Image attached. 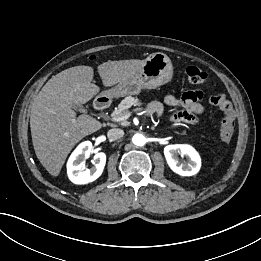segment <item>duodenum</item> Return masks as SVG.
Instances as JSON below:
<instances>
[{
    "instance_id": "obj_1",
    "label": "duodenum",
    "mask_w": 261,
    "mask_h": 261,
    "mask_svg": "<svg viewBox=\"0 0 261 261\" xmlns=\"http://www.w3.org/2000/svg\"><path fill=\"white\" fill-rule=\"evenodd\" d=\"M94 106L98 110L106 109L110 106V100L104 96L98 97L94 102Z\"/></svg>"
}]
</instances>
